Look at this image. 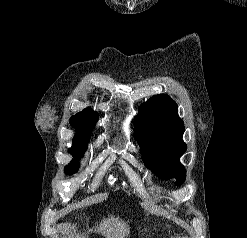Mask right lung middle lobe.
<instances>
[{"mask_svg": "<svg viewBox=\"0 0 247 238\" xmlns=\"http://www.w3.org/2000/svg\"><path fill=\"white\" fill-rule=\"evenodd\" d=\"M87 146L85 145H74L69 149L70 153L75 157V159H80L83 153L86 151ZM78 162L73 160L71 163L65 168V173L72 174L75 173L78 169Z\"/></svg>", "mask_w": 247, "mask_h": 238, "instance_id": "obj_1", "label": "right lung middle lobe"}]
</instances>
